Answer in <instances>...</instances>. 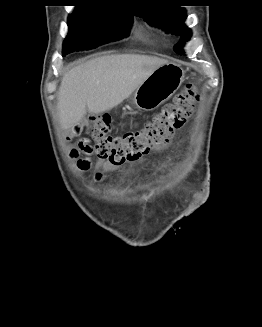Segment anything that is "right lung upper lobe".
Returning <instances> with one entry per match:
<instances>
[{"label": "right lung upper lobe", "mask_w": 262, "mask_h": 327, "mask_svg": "<svg viewBox=\"0 0 262 327\" xmlns=\"http://www.w3.org/2000/svg\"><path fill=\"white\" fill-rule=\"evenodd\" d=\"M77 1L82 4L77 5L76 8L86 7V8H93V9L127 12L131 14V9L129 6L112 5L111 3H113V0H77Z\"/></svg>", "instance_id": "right-lung-upper-lobe-1"}]
</instances>
